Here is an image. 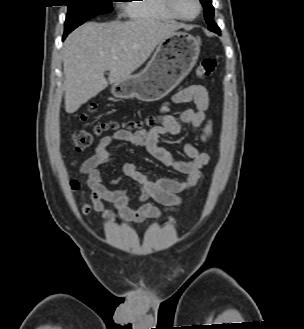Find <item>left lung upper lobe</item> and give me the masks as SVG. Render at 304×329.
<instances>
[{"label":"left lung upper lobe","instance_id":"1","mask_svg":"<svg viewBox=\"0 0 304 329\" xmlns=\"http://www.w3.org/2000/svg\"><path fill=\"white\" fill-rule=\"evenodd\" d=\"M200 2L202 3L203 7H204V16L206 19V22L208 23V27H212V22L213 17H214V8L212 6V2L211 0H200Z\"/></svg>","mask_w":304,"mask_h":329}]
</instances>
